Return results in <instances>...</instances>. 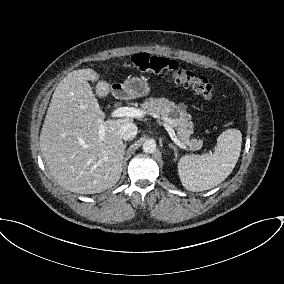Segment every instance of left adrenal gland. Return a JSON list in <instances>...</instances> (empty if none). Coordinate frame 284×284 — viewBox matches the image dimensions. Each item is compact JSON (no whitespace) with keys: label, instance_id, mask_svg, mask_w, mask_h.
Wrapping results in <instances>:
<instances>
[{"label":"left adrenal gland","instance_id":"obj_1","mask_svg":"<svg viewBox=\"0 0 284 284\" xmlns=\"http://www.w3.org/2000/svg\"><path fill=\"white\" fill-rule=\"evenodd\" d=\"M169 147L174 150V155H175V159H176L177 156H178L177 148L174 145H172V144H169Z\"/></svg>","mask_w":284,"mask_h":284}]
</instances>
